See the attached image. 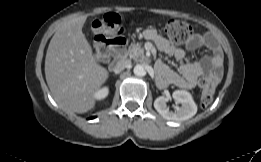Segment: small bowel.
Returning <instances> with one entry per match:
<instances>
[{"label": "small bowel", "instance_id": "small-bowel-1", "mask_svg": "<svg viewBox=\"0 0 261 162\" xmlns=\"http://www.w3.org/2000/svg\"><path fill=\"white\" fill-rule=\"evenodd\" d=\"M146 37L154 41L161 51L174 56L177 60L184 58V50L171 45L167 38L156 29L147 30ZM202 46L207 47L211 54L203 57L200 61L182 64L180 67V74L167 68L161 61H157L156 63L158 72L161 75L166 76L171 84L185 89L194 88L198 78L202 75L219 80L222 76L223 65L221 48L212 35L196 36L188 45L190 50H196Z\"/></svg>", "mask_w": 261, "mask_h": 162}]
</instances>
